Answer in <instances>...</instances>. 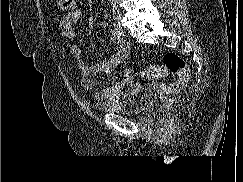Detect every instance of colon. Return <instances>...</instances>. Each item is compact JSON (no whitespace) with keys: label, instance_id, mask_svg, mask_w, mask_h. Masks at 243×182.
Wrapping results in <instances>:
<instances>
[{"label":"colon","instance_id":"obj_1","mask_svg":"<svg viewBox=\"0 0 243 182\" xmlns=\"http://www.w3.org/2000/svg\"><path fill=\"white\" fill-rule=\"evenodd\" d=\"M57 5L61 10L74 11L76 0H57ZM143 76L149 80H159L168 74L176 75L177 80L170 86L169 93L175 94L187 86L191 74L184 60L174 52H167L161 64L150 65L143 69Z\"/></svg>","mask_w":243,"mask_h":182}]
</instances>
